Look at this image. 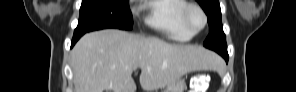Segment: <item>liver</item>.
Masks as SVG:
<instances>
[{
    "instance_id": "liver-1",
    "label": "liver",
    "mask_w": 296,
    "mask_h": 92,
    "mask_svg": "<svg viewBox=\"0 0 296 92\" xmlns=\"http://www.w3.org/2000/svg\"><path fill=\"white\" fill-rule=\"evenodd\" d=\"M216 64V55L201 46L169 44L117 29L87 33L71 51L75 92H135L132 72L137 68L142 89L153 92Z\"/></svg>"
}]
</instances>
